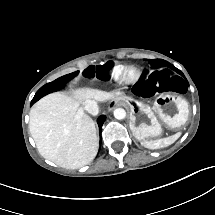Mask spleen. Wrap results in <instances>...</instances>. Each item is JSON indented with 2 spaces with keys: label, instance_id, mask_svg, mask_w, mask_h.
<instances>
[{
  "label": "spleen",
  "instance_id": "spleen-1",
  "mask_svg": "<svg viewBox=\"0 0 215 215\" xmlns=\"http://www.w3.org/2000/svg\"><path fill=\"white\" fill-rule=\"evenodd\" d=\"M182 132L179 131L173 135L167 136V137H163V138H159V139H155V140H144L141 142V144L148 148V149H162L165 147H168L170 145H172L174 142H176L178 140V138L181 136Z\"/></svg>",
  "mask_w": 215,
  "mask_h": 215
}]
</instances>
